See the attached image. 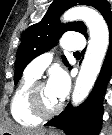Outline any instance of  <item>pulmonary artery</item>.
<instances>
[{
    "label": "pulmonary artery",
    "instance_id": "pulmonary-artery-1",
    "mask_svg": "<svg viewBox=\"0 0 112 135\" xmlns=\"http://www.w3.org/2000/svg\"><path fill=\"white\" fill-rule=\"evenodd\" d=\"M62 47L69 51H80L84 47L83 36L79 33L66 34L63 37ZM52 60V52L44 54L33 60L26 68L25 73L40 77Z\"/></svg>",
    "mask_w": 112,
    "mask_h": 135
}]
</instances>
